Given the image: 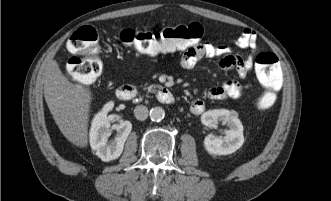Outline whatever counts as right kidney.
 Masks as SVG:
<instances>
[{
  "label": "right kidney",
  "instance_id": "right-kidney-1",
  "mask_svg": "<svg viewBox=\"0 0 331 201\" xmlns=\"http://www.w3.org/2000/svg\"><path fill=\"white\" fill-rule=\"evenodd\" d=\"M113 107L114 102L106 103L93 118L90 129V146L95 154L105 162L117 159L122 154L124 143L132 130V124L129 121H123L115 125L117 131L115 138L108 140L111 131L107 113Z\"/></svg>",
  "mask_w": 331,
  "mask_h": 201
}]
</instances>
